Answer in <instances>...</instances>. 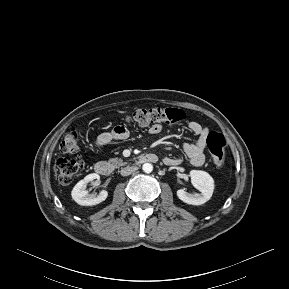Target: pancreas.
Instances as JSON below:
<instances>
[{
  "label": "pancreas",
  "mask_w": 289,
  "mask_h": 289,
  "mask_svg": "<svg viewBox=\"0 0 289 289\" xmlns=\"http://www.w3.org/2000/svg\"><path fill=\"white\" fill-rule=\"evenodd\" d=\"M110 162L113 163L116 167L125 164L121 158H112L110 159Z\"/></svg>",
  "instance_id": "pancreas-1"
}]
</instances>
